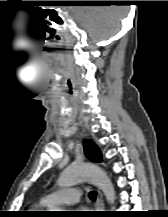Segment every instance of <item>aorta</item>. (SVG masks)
<instances>
[{"mask_svg":"<svg viewBox=\"0 0 168 217\" xmlns=\"http://www.w3.org/2000/svg\"><path fill=\"white\" fill-rule=\"evenodd\" d=\"M87 181L101 189L106 200L113 204L115 200L114 186L108 175L100 167L91 163H82L67 167L61 174L58 185L70 187L79 182Z\"/></svg>","mask_w":168,"mask_h":217,"instance_id":"1","label":"aorta"}]
</instances>
